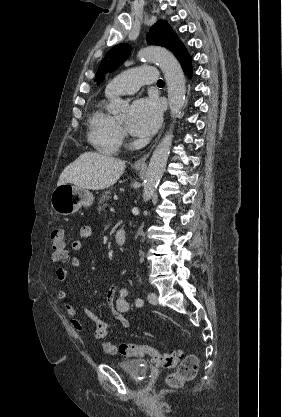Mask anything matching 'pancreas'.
Listing matches in <instances>:
<instances>
[{"instance_id":"1","label":"pancreas","mask_w":282,"mask_h":417,"mask_svg":"<svg viewBox=\"0 0 282 417\" xmlns=\"http://www.w3.org/2000/svg\"><path fill=\"white\" fill-rule=\"evenodd\" d=\"M113 190H114V188H113V186H111L110 190H106V192H104V194H102V196H100V200H99L98 204H100L101 209H102V206H107L106 200H107V198H109L108 194H111V192H113Z\"/></svg>"}]
</instances>
